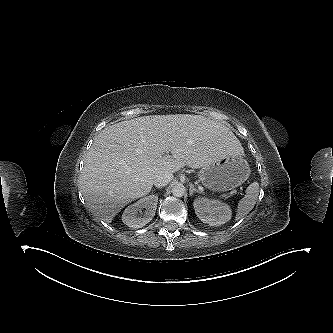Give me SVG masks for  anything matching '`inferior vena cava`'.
Wrapping results in <instances>:
<instances>
[{
    "instance_id": "inferior-vena-cava-1",
    "label": "inferior vena cava",
    "mask_w": 333,
    "mask_h": 333,
    "mask_svg": "<svg viewBox=\"0 0 333 333\" xmlns=\"http://www.w3.org/2000/svg\"><path fill=\"white\" fill-rule=\"evenodd\" d=\"M173 179V174L171 173H160L156 175L154 179V185L157 188H162L170 183V181Z\"/></svg>"
}]
</instances>
